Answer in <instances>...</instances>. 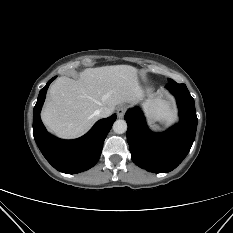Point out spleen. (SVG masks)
Instances as JSON below:
<instances>
[{"instance_id":"spleen-1","label":"spleen","mask_w":233,"mask_h":233,"mask_svg":"<svg viewBox=\"0 0 233 233\" xmlns=\"http://www.w3.org/2000/svg\"><path fill=\"white\" fill-rule=\"evenodd\" d=\"M152 129H153L154 131H160V130H161V127L155 125V126H152Z\"/></svg>"}]
</instances>
